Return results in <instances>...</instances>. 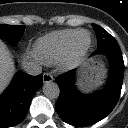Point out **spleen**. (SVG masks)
Returning <instances> with one entry per match:
<instances>
[{"label": "spleen", "instance_id": "spleen-1", "mask_svg": "<svg viewBox=\"0 0 128 128\" xmlns=\"http://www.w3.org/2000/svg\"><path fill=\"white\" fill-rule=\"evenodd\" d=\"M98 83V81L97 80H90V81H88V83H87V87H89V88H91L94 84H97Z\"/></svg>", "mask_w": 128, "mask_h": 128}]
</instances>
